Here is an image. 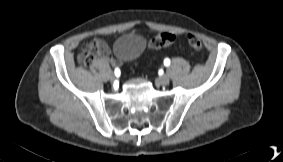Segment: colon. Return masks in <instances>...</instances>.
Returning a JSON list of instances; mask_svg holds the SVG:
<instances>
[{
	"label": "colon",
	"mask_w": 283,
	"mask_h": 162,
	"mask_svg": "<svg viewBox=\"0 0 283 162\" xmlns=\"http://www.w3.org/2000/svg\"><path fill=\"white\" fill-rule=\"evenodd\" d=\"M175 41V35L172 33L164 32L160 33L157 36H155L151 40V47L154 49H161L164 47H168L171 44H173ZM187 42L190 47H192L195 50H200L202 48V43L200 39L193 35V34H188L187 35ZM92 59V55L88 52H82L78 56V62L84 65H87Z\"/></svg>",
	"instance_id": "5ec220e1"
}]
</instances>
